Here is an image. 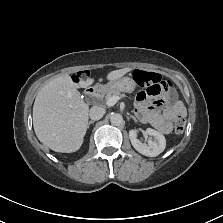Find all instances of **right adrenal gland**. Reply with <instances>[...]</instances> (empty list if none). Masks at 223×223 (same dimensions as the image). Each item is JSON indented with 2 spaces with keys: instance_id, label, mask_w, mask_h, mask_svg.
Returning a JSON list of instances; mask_svg holds the SVG:
<instances>
[{
  "instance_id": "1",
  "label": "right adrenal gland",
  "mask_w": 223,
  "mask_h": 223,
  "mask_svg": "<svg viewBox=\"0 0 223 223\" xmlns=\"http://www.w3.org/2000/svg\"><path fill=\"white\" fill-rule=\"evenodd\" d=\"M91 123H94V120H90V121L87 123V128H89V125H90Z\"/></svg>"
}]
</instances>
